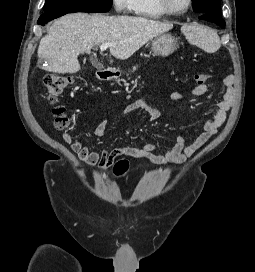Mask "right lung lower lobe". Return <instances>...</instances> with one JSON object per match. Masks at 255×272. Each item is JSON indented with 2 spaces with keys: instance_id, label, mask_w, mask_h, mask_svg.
<instances>
[{
  "instance_id": "right-lung-lower-lobe-1",
  "label": "right lung lower lobe",
  "mask_w": 255,
  "mask_h": 272,
  "mask_svg": "<svg viewBox=\"0 0 255 272\" xmlns=\"http://www.w3.org/2000/svg\"><path fill=\"white\" fill-rule=\"evenodd\" d=\"M67 13H50V14H42L38 20V24L45 25L49 21L56 19L60 16H63Z\"/></svg>"
}]
</instances>
